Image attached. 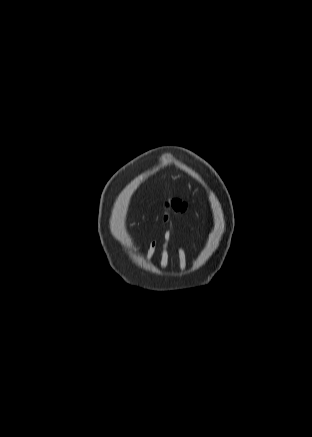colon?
Instances as JSON below:
<instances>
[{
	"mask_svg": "<svg viewBox=\"0 0 312 437\" xmlns=\"http://www.w3.org/2000/svg\"><path fill=\"white\" fill-rule=\"evenodd\" d=\"M165 207L173 213H180L185 210L186 205L180 200H171L165 204Z\"/></svg>",
	"mask_w": 312,
	"mask_h": 437,
	"instance_id": "obj_1",
	"label": "colon"
}]
</instances>
